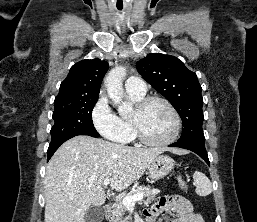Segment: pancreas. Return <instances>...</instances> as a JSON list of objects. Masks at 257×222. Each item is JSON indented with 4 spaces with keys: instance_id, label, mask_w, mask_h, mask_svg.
Instances as JSON below:
<instances>
[{
    "instance_id": "1",
    "label": "pancreas",
    "mask_w": 257,
    "mask_h": 222,
    "mask_svg": "<svg viewBox=\"0 0 257 222\" xmlns=\"http://www.w3.org/2000/svg\"><path fill=\"white\" fill-rule=\"evenodd\" d=\"M160 191L158 189H151L150 187L140 186L131 190L128 195H135L137 193H143L145 200H143L145 205H149L156 197ZM113 210L111 219L109 222H129L130 216H125L128 207L122 203V200H118L113 204Z\"/></svg>"
}]
</instances>
